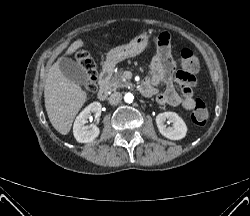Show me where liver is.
Segmentation results:
<instances>
[{"label": "liver", "mask_w": 250, "mask_h": 216, "mask_svg": "<svg viewBox=\"0 0 250 216\" xmlns=\"http://www.w3.org/2000/svg\"><path fill=\"white\" fill-rule=\"evenodd\" d=\"M83 46L84 42L79 39L71 44L66 54L71 55ZM61 59L49 69L44 87V98L52 126L62 135H66L77 113L86 102L87 94L78 84L62 73L59 65Z\"/></svg>", "instance_id": "obj_1"}]
</instances>
